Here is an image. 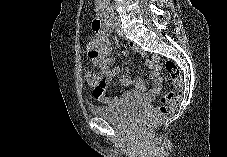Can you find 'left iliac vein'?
Segmentation results:
<instances>
[{
    "mask_svg": "<svg viewBox=\"0 0 227 157\" xmlns=\"http://www.w3.org/2000/svg\"><path fill=\"white\" fill-rule=\"evenodd\" d=\"M118 33H119V34H122V32H121L120 28H118Z\"/></svg>",
    "mask_w": 227,
    "mask_h": 157,
    "instance_id": "4c4485c4",
    "label": "left iliac vein"
}]
</instances>
